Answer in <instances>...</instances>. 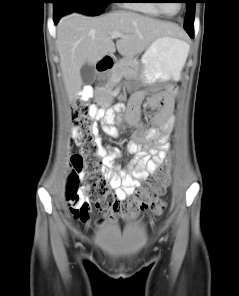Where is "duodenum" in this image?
Masks as SVG:
<instances>
[{
  "label": "duodenum",
  "mask_w": 239,
  "mask_h": 296,
  "mask_svg": "<svg viewBox=\"0 0 239 296\" xmlns=\"http://www.w3.org/2000/svg\"><path fill=\"white\" fill-rule=\"evenodd\" d=\"M114 67V60L110 56L102 57L97 63V71L99 73H105Z\"/></svg>",
  "instance_id": "1"
}]
</instances>
